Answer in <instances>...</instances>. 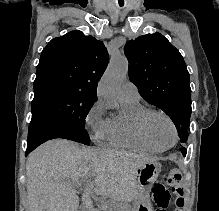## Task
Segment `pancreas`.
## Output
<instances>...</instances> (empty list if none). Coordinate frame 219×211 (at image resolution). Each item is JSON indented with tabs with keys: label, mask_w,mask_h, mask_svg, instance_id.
<instances>
[{
	"label": "pancreas",
	"mask_w": 219,
	"mask_h": 211,
	"mask_svg": "<svg viewBox=\"0 0 219 211\" xmlns=\"http://www.w3.org/2000/svg\"><path fill=\"white\" fill-rule=\"evenodd\" d=\"M105 207H103L104 211H132L131 207H127L126 203H123L122 200H105Z\"/></svg>",
	"instance_id": "pancreas-1"
}]
</instances>
